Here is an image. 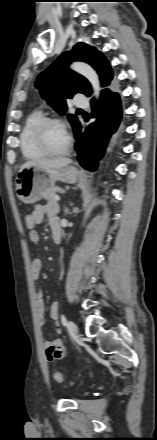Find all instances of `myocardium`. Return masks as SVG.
<instances>
[{"instance_id": "1", "label": "myocardium", "mask_w": 157, "mask_h": 440, "mask_svg": "<svg viewBox=\"0 0 157 440\" xmlns=\"http://www.w3.org/2000/svg\"><path fill=\"white\" fill-rule=\"evenodd\" d=\"M60 125L65 129L64 123L57 118H43L41 121H39L37 123V125L35 126L33 133H32V138H33V142L36 145V147L38 149H40L45 155H49V156H63L68 154L71 149H72V145H73V141L71 136L67 133L68 135V144L67 146L60 150V151H53L51 149L48 148L46 142H45V130L48 126L50 125Z\"/></svg>"}]
</instances>
